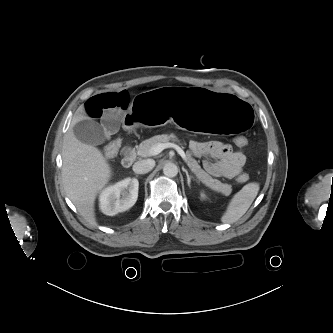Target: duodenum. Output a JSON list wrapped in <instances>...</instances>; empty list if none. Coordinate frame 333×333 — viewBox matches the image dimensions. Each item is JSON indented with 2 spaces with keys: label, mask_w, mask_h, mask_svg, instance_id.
<instances>
[{
  "label": "duodenum",
  "mask_w": 333,
  "mask_h": 333,
  "mask_svg": "<svg viewBox=\"0 0 333 333\" xmlns=\"http://www.w3.org/2000/svg\"><path fill=\"white\" fill-rule=\"evenodd\" d=\"M122 165L126 168H129L135 161L136 155L131 146H126L123 151Z\"/></svg>",
  "instance_id": "obj_1"
}]
</instances>
